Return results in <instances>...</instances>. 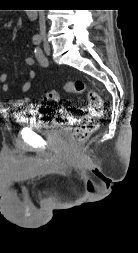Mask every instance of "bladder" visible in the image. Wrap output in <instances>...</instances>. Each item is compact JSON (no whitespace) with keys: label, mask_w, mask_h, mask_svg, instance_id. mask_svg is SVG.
Listing matches in <instances>:
<instances>
[{"label":"bladder","mask_w":138,"mask_h":253,"mask_svg":"<svg viewBox=\"0 0 138 253\" xmlns=\"http://www.w3.org/2000/svg\"><path fill=\"white\" fill-rule=\"evenodd\" d=\"M40 109V110H38ZM44 107L33 106L29 110L20 111L19 123L28 129L38 133H49L55 128L62 127L59 123L48 119L50 112H45ZM38 110V111H37Z\"/></svg>","instance_id":"1"}]
</instances>
